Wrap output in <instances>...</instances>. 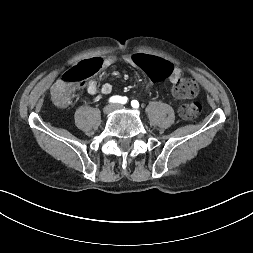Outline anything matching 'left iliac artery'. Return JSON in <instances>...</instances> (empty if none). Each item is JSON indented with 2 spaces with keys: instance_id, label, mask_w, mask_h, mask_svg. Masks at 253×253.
<instances>
[{
  "instance_id": "44dca946",
  "label": "left iliac artery",
  "mask_w": 253,
  "mask_h": 253,
  "mask_svg": "<svg viewBox=\"0 0 253 253\" xmlns=\"http://www.w3.org/2000/svg\"><path fill=\"white\" fill-rule=\"evenodd\" d=\"M131 106L135 109L139 108V102L137 100L131 101Z\"/></svg>"
}]
</instances>
